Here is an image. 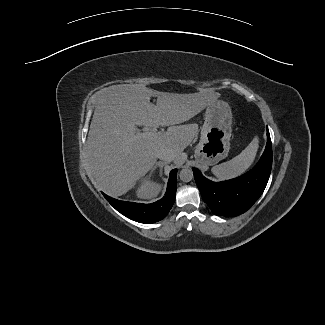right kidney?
Returning a JSON list of instances; mask_svg holds the SVG:
<instances>
[{
  "instance_id": "ca27d5eb",
  "label": "right kidney",
  "mask_w": 325,
  "mask_h": 325,
  "mask_svg": "<svg viewBox=\"0 0 325 325\" xmlns=\"http://www.w3.org/2000/svg\"><path fill=\"white\" fill-rule=\"evenodd\" d=\"M160 185L150 180H143L141 186L137 190V196L140 198H151L158 194Z\"/></svg>"
}]
</instances>
